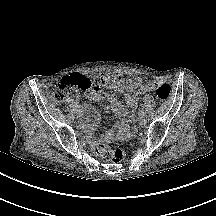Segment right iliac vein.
<instances>
[{"mask_svg": "<svg viewBox=\"0 0 216 216\" xmlns=\"http://www.w3.org/2000/svg\"><path fill=\"white\" fill-rule=\"evenodd\" d=\"M77 117H78L79 119H83V118H84L83 112H82V113H77Z\"/></svg>", "mask_w": 216, "mask_h": 216, "instance_id": "1", "label": "right iliac vein"}]
</instances>
